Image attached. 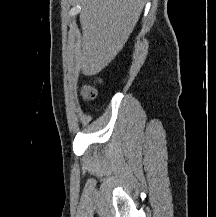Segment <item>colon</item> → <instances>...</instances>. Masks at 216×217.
I'll list each match as a JSON object with an SVG mask.
<instances>
[{
    "label": "colon",
    "mask_w": 216,
    "mask_h": 217,
    "mask_svg": "<svg viewBox=\"0 0 216 217\" xmlns=\"http://www.w3.org/2000/svg\"><path fill=\"white\" fill-rule=\"evenodd\" d=\"M80 94L84 101L91 102L97 97V89L94 84H84Z\"/></svg>",
    "instance_id": "colon-1"
}]
</instances>
